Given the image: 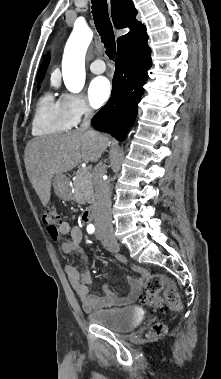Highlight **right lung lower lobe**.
<instances>
[{
	"label": "right lung lower lobe",
	"instance_id": "1",
	"mask_svg": "<svg viewBox=\"0 0 221 379\" xmlns=\"http://www.w3.org/2000/svg\"><path fill=\"white\" fill-rule=\"evenodd\" d=\"M146 28L118 45L112 98L93 117L95 129L122 141L132 126L152 66Z\"/></svg>",
	"mask_w": 221,
	"mask_h": 379
}]
</instances>
